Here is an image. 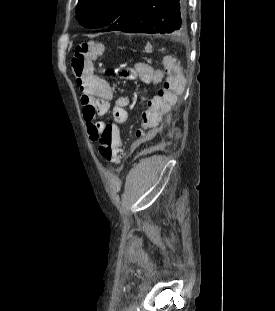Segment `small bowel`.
<instances>
[{
    "label": "small bowel",
    "instance_id": "1",
    "mask_svg": "<svg viewBox=\"0 0 275 311\" xmlns=\"http://www.w3.org/2000/svg\"><path fill=\"white\" fill-rule=\"evenodd\" d=\"M180 56H162L161 65L154 69L147 60H132L135 67L130 73L133 79L149 80V87H158V92H151L147 105L138 116V132H133L135 143H150L149 133L161 122V116L177 108L179 98H184L187 82L184 70L181 69ZM76 83L82 90L81 103L84 106L83 116L89 137L97 135L107 125L96 121L97 116L111 112L113 127L122 126L127 120L126 107L129 99L125 96L114 98L110 84L103 78L88 72L76 77Z\"/></svg>",
    "mask_w": 275,
    "mask_h": 311
}]
</instances>
